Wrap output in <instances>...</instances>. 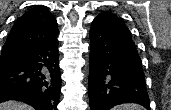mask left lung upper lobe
<instances>
[{
  "label": "left lung upper lobe",
  "mask_w": 171,
  "mask_h": 110,
  "mask_svg": "<svg viewBox=\"0 0 171 110\" xmlns=\"http://www.w3.org/2000/svg\"><path fill=\"white\" fill-rule=\"evenodd\" d=\"M98 16L108 18L110 21L114 22L120 28V30H122L127 35L131 36V33H130L129 29L127 28V26L115 14H113L109 11H106V12L100 13Z\"/></svg>",
  "instance_id": "obj_1"
}]
</instances>
